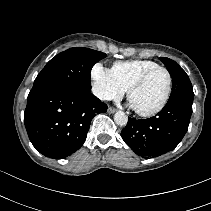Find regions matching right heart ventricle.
<instances>
[{
	"mask_svg": "<svg viewBox=\"0 0 211 211\" xmlns=\"http://www.w3.org/2000/svg\"><path fill=\"white\" fill-rule=\"evenodd\" d=\"M159 66L151 60L118 61L111 67V73L124 91L145 71Z\"/></svg>",
	"mask_w": 211,
	"mask_h": 211,
	"instance_id": "e07e8e85",
	"label": "right heart ventricle"
}]
</instances>
